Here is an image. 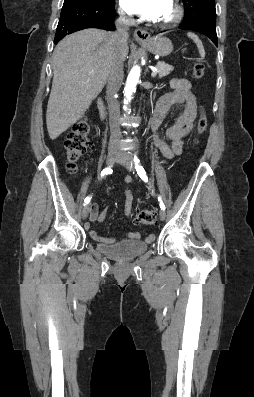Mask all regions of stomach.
I'll use <instances>...</instances> for the list:
<instances>
[{"mask_svg": "<svg viewBox=\"0 0 254 397\" xmlns=\"http://www.w3.org/2000/svg\"><path fill=\"white\" fill-rule=\"evenodd\" d=\"M141 45L147 48L151 53L161 57L169 55L173 50L171 40L161 36L152 37L149 42L141 43Z\"/></svg>", "mask_w": 254, "mask_h": 397, "instance_id": "stomach-1", "label": "stomach"}]
</instances>
